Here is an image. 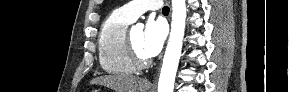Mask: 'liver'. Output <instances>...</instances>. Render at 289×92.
<instances>
[{
	"mask_svg": "<svg viewBox=\"0 0 289 92\" xmlns=\"http://www.w3.org/2000/svg\"><path fill=\"white\" fill-rule=\"evenodd\" d=\"M90 84L103 85L116 92H146L150 83L138 77L126 75H105L95 77Z\"/></svg>",
	"mask_w": 289,
	"mask_h": 92,
	"instance_id": "liver-1",
	"label": "liver"
}]
</instances>
